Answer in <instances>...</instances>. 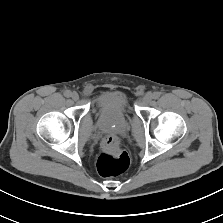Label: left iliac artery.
<instances>
[{
  "mask_svg": "<svg viewBox=\"0 0 223 223\" xmlns=\"http://www.w3.org/2000/svg\"><path fill=\"white\" fill-rule=\"evenodd\" d=\"M161 93L160 92H154L153 93V99H158L160 97Z\"/></svg>",
  "mask_w": 223,
  "mask_h": 223,
  "instance_id": "left-iliac-artery-1",
  "label": "left iliac artery"
}]
</instances>
